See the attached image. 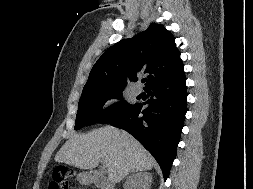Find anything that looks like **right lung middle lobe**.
Instances as JSON below:
<instances>
[{"mask_svg":"<svg viewBox=\"0 0 253 189\" xmlns=\"http://www.w3.org/2000/svg\"><path fill=\"white\" fill-rule=\"evenodd\" d=\"M125 87H101L82 92L75 122V130L95 123H108L115 117L127 112L134 105L123 100L122 91ZM119 99L117 102L103 110L105 102L109 99Z\"/></svg>","mask_w":253,"mask_h":189,"instance_id":"right-lung-middle-lobe-1","label":"right lung middle lobe"}]
</instances>
